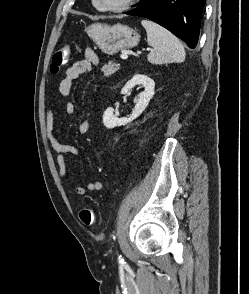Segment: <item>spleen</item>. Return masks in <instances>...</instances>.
I'll use <instances>...</instances> for the list:
<instances>
[{
    "label": "spleen",
    "mask_w": 249,
    "mask_h": 294,
    "mask_svg": "<svg viewBox=\"0 0 249 294\" xmlns=\"http://www.w3.org/2000/svg\"><path fill=\"white\" fill-rule=\"evenodd\" d=\"M152 50L147 59L152 64L183 62L185 50L180 41L167 29L150 20H142Z\"/></svg>",
    "instance_id": "3e777b00"
}]
</instances>
